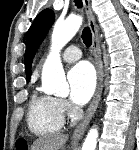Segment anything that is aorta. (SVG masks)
<instances>
[{
	"mask_svg": "<svg viewBox=\"0 0 139 150\" xmlns=\"http://www.w3.org/2000/svg\"><path fill=\"white\" fill-rule=\"evenodd\" d=\"M79 15H70L64 21H57L51 38L50 54L42 70V88L45 93L66 96L69 86L66 82L63 66L60 60L61 49L74 37L82 24ZM98 138L97 128H92L82 145V150H96Z\"/></svg>",
	"mask_w": 139,
	"mask_h": 150,
	"instance_id": "1",
	"label": "aorta"
}]
</instances>
